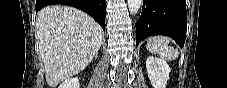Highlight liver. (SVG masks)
I'll use <instances>...</instances> for the list:
<instances>
[{"label": "liver", "mask_w": 227, "mask_h": 88, "mask_svg": "<svg viewBox=\"0 0 227 88\" xmlns=\"http://www.w3.org/2000/svg\"><path fill=\"white\" fill-rule=\"evenodd\" d=\"M36 38L48 86L84 70L98 53L102 28L86 13L65 5H49L36 17Z\"/></svg>", "instance_id": "liver-1"}]
</instances>
